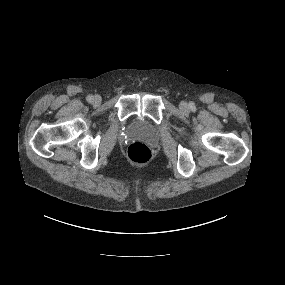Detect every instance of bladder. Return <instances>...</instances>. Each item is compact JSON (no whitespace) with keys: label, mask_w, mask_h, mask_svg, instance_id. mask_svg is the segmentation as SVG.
Here are the masks:
<instances>
[{"label":"bladder","mask_w":285,"mask_h":285,"mask_svg":"<svg viewBox=\"0 0 285 285\" xmlns=\"http://www.w3.org/2000/svg\"><path fill=\"white\" fill-rule=\"evenodd\" d=\"M139 134L146 137V138H149L152 136V133L148 130H145V129H140Z\"/></svg>","instance_id":"obj_1"}]
</instances>
